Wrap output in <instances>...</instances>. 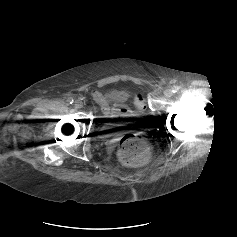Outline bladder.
<instances>
[{
  "mask_svg": "<svg viewBox=\"0 0 237 237\" xmlns=\"http://www.w3.org/2000/svg\"><path fill=\"white\" fill-rule=\"evenodd\" d=\"M146 112L142 113V115H145ZM135 122V118H129V119H114L110 121H106L103 124L104 132L108 134H112L124 127H127Z\"/></svg>",
  "mask_w": 237,
  "mask_h": 237,
  "instance_id": "1",
  "label": "bladder"
}]
</instances>
